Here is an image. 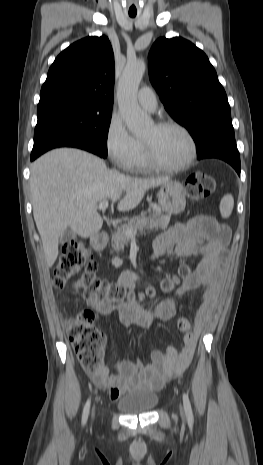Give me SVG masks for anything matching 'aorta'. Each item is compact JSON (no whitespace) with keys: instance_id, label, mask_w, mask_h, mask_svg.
Instances as JSON below:
<instances>
[{"instance_id":"obj_1","label":"aorta","mask_w":263,"mask_h":465,"mask_svg":"<svg viewBox=\"0 0 263 465\" xmlns=\"http://www.w3.org/2000/svg\"><path fill=\"white\" fill-rule=\"evenodd\" d=\"M142 60L128 61L118 83L117 99L120 113L130 132L140 134L150 124V117L137 102V91L145 73Z\"/></svg>"}]
</instances>
